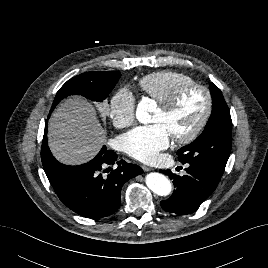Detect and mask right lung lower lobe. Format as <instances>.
<instances>
[{
	"instance_id": "1",
	"label": "right lung lower lobe",
	"mask_w": 268,
	"mask_h": 268,
	"mask_svg": "<svg viewBox=\"0 0 268 268\" xmlns=\"http://www.w3.org/2000/svg\"><path fill=\"white\" fill-rule=\"evenodd\" d=\"M116 160L117 154L104 146L93 160L83 165L59 163L57 196L69 209L83 217L98 219L113 214L120 206L124 183L143 172L138 165ZM115 163L117 167L110 171L107 166Z\"/></svg>"
}]
</instances>
